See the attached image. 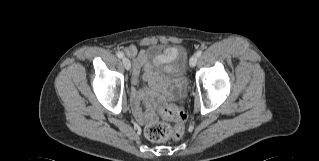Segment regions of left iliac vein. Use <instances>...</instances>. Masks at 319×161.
Masks as SVG:
<instances>
[{"instance_id":"1","label":"left iliac vein","mask_w":319,"mask_h":161,"mask_svg":"<svg viewBox=\"0 0 319 161\" xmlns=\"http://www.w3.org/2000/svg\"><path fill=\"white\" fill-rule=\"evenodd\" d=\"M197 61H198V57L196 55H193L191 58H190V66L191 67H194L196 64H197Z\"/></svg>"}]
</instances>
